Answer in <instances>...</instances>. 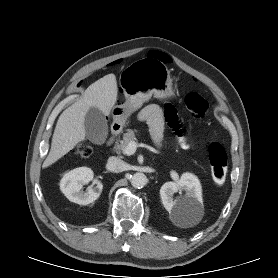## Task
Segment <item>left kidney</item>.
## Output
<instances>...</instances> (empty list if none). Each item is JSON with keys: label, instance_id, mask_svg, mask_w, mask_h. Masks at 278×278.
Instances as JSON below:
<instances>
[{"label": "left kidney", "instance_id": "1", "mask_svg": "<svg viewBox=\"0 0 278 278\" xmlns=\"http://www.w3.org/2000/svg\"><path fill=\"white\" fill-rule=\"evenodd\" d=\"M184 190L181 198L174 193ZM160 196L170 217L177 223L189 224L197 220L203 210L202 188L199 179L191 174H182L177 182H166L160 189Z\"/></svg>", "mask_w": 278, "mask_h": 278}]
</instances>
